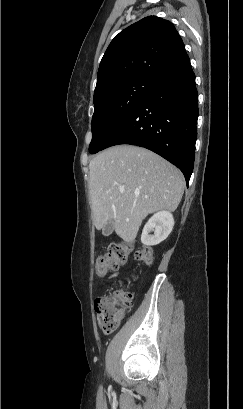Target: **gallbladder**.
Segmentation results:
<instances>
[{"label":"gallbladder","mask_w":243,"mask_h":409,"mask_svg":"<svg viewBox=\"0 0 243 409\" xmlns=\"http://www.w3.org/2000/svg\"><path fill=\"white\" fill-rule=\"evenodd\" d=\"M113 230H114V221H113V220H109V221L105 224V226L103 227V229H102V234H103L104 236H109V235L112 234Z\"/></svg>","instance_id":"gallbladder-1"}]
</instances>
